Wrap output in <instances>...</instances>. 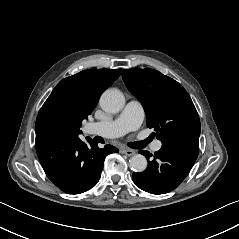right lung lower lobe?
Instances as JSON below:
<instances>
[{
	"instance_id": "1",
	"label": "right lung lower lobe",
	"mask_w": 239,
	"mask_h": 239,
	"mask_svg": "<svg viewBox=\"0 0 239 239\" xmlns=\"http://www.w3.org/2000/svg\"><path fill=\"white\" fill-rule=\"evenodd\" d=\"M87 141L52 131L36 136V151L47 177L66 193L79 194L94 187L105 157L118 152L111 145L100 149L90 138Z\"/></svg>"
}]
</instances>
